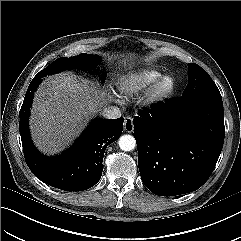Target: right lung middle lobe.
I'll list each match as a JSON object with an SVG mask.
<instances>
[{
  "mask_svg": "<svg viewBox=\"0 0 241 241\" xmlns=\"http://www.w3.org/2000/svg\"><path fill=\"white\" fill-rule=\"evenodd\" d=\"M99 57L92 54L82 53L70 58L61 57L56 59L45 69L40 71L34 78L41 79L50 74L58 73L66 69H93L99 63ZM104 78V75L103 77Z\"/></svg>",
  "mask_w": 241,
  "mask_h": 241,
  "instance_id": "dd1d6c3e",
  "label": "right lung middle lobe"
}]
</instances>
